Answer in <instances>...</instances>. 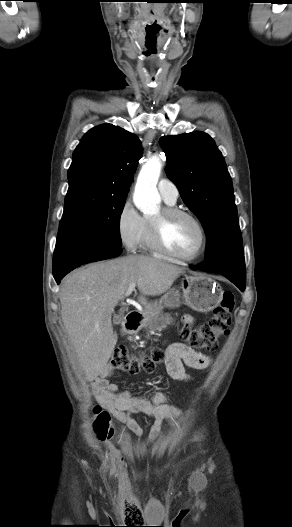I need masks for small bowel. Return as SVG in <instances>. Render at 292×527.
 I'll return each mask as SVG.
<instances>
[{
    "mask_svg": "<svg viewBox=\"0 0 292 527\" xmlns=\"http://www.w3.org/2000/svg\"><path fill=\"white\" fill-rule=\"evenodd\" d=\"M183 321L190 325L193 324L194 319L191 316H185ZM165 364L171 378L177 381H188L190 375L187 373L185 366L203 370L210 366L211 358L183 343H173L167 348ZM112 374L113 368L108 366L97 380V386L105 392L101 402L116 419L124 423L138 436L142 435L143 430L130 415L143 413L152 417L154 424L145 441L146 445L153 443L160 437L161 425L164 421L174 425L175 420L182 417L181 410L171 405L163 392H155L147 396H136L129 391H118V384L108 381Z\"/></svg>",
    "mask_w": 292,
    "mask_h": 527,
    "instance_id": "1",
    "label": "small bowel"
}]
</instances>
